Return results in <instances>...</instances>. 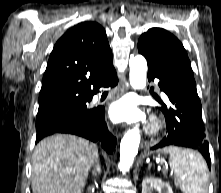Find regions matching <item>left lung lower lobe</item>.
Wrapping results in <instances>:
<instances>
[{
  "label": "left lung lower lobe",
  "mask_w": 221,
  "mask_h": 193,
  "mask_svg": "<svg viewBox=\"0 0 221 193\" xmlns=\"http://www.w3.org/2000/svg\"><path fill=\"white\" fill-rule=\"evenodd\" d=\"M143 56L144 53L139 51ZM148 62V80L159 79L160 89L168 96L172 106L162 104L168 135L152 149L181 146L198 150L210 169L209 145L204 134L202 106L196 90L192 70L164 65L145 56Z\"/></svg>",
  "instance_id": "obj_1"
}]
</instances>
